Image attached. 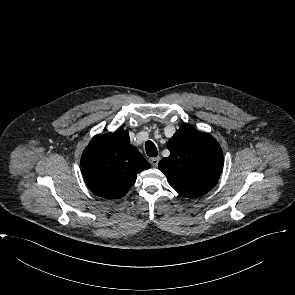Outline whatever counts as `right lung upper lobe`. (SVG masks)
Returning a JSON list of instances; mask_svg holds the SVG:
<instances>
[{"label":"right lung upper lobe","mask_w":295,"mask_h":295,"mask_svg":"<svg viewBox=\"0 0 295 295\" xmlns=\"http://www.w3.org/2000/svg\"><path fill=\"white\" fill-rule=\"evenodd\" d=\"M149 168L125 130L95 136L81 157L86 184L97 196L108 199L125 196L137 174Z\"/></svg>","instance_id":"obj_1"}]
</instances>
